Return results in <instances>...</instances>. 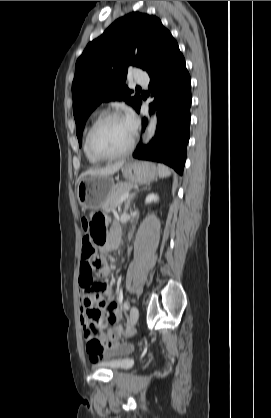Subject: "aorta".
I'll use <instances>...</instances> for the list:
<instances>
[{
	"mask_svg": "<svg viewBox=\"0 0 271 418\" xmlns=\"http://www.w3.org/2000/svg\"><path fill=\"white\" fill-rule=\"evenodd\" d=\"M157 126L156 115L152 116L147 127V141H149L155 134Z\"/></svg>",
	"mask_w": 271,
	"mask_h": 418,
	"instance_id": "aorta-1",
	"label": "aorta"
}]
</instances>
